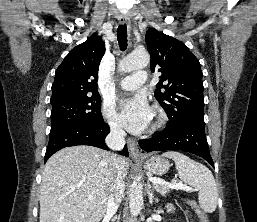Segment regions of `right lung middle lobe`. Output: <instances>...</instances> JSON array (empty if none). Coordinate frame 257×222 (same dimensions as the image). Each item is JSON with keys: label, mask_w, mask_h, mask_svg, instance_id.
<instances>
[{"label": "right lung middle lobe", "mask_w": 257, "mask_h": 222, "mask_svg": "<svg viewBox=\"0 0 257 222\" xmlns=\"http://www.w3.org/2000/svg\"><path fill=\"white\" fill-rule=\"evenodd\" d=\"M51 131L68 125L97 126L104 123L99 95L51 100Z\"/></svg>", "instance_id": "1"}]
</instances>
